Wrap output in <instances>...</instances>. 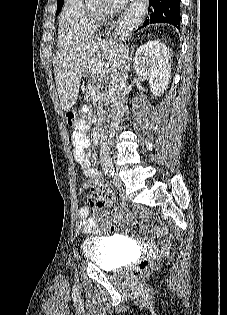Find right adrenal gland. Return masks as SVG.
<instances>
[{
	"instance_id": "2a0ac1e0",
	"label": "right adrenal gland",
	"mask_w": 227,
	"mask_h": 315,
	"mask_svg": "<svg viewBox=\"0 0 227 315\" xmlns=\"http://www.w3.org/2000/svg\"><path fill=\"white\" fill-rule=\"evenodd\" d=\"M134 47H135V46H134ZM134 47H132L131 53H129V50H128V49H127V51H126L127 58H128V61H129V62L132 60V56H133V53H134Z\"/></svg>"
}]
</instances>
